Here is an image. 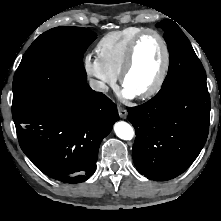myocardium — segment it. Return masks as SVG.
Segmentation results:
<instances>
[{"label":"myocardium","mask_w":221,"mask_h":221,"mask_svg":"<svg viewBox=\"0 0 221 221\" xmlns=\"http://www.w3.org/2000/svg\"><path fill=\"white\" fill-rule=\"evenodd\" d=\"M147 35H153L156 38H158V40L160 41L162 48H163V63H162L159 75L156 81L154 82V84L148 90L137 95L140 99L151 98L155 96L161 90L166 80L169 66H170V50L163 35L154 29H144L132 39V41L130 42L128 46L125 59H124V62H123V65L119 74L121 85L124 87L125 79L134 64L136 49L138 47L139 42L142 40V38H144Z\"/></svg>","instance_id":"1"}]
</instances>
